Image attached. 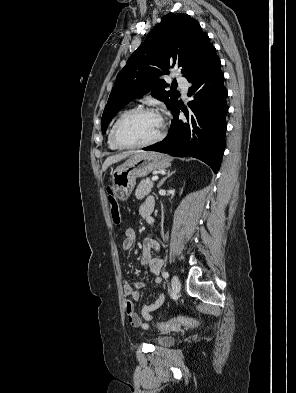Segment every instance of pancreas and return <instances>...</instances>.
Returning a JSON list of instances; mask_svg holds the SVG:
<instances>
[{
	"instance_id": "pancreas-1",
	"label": "pancreas",
	"mask_w": 296,
	"mask_h": 393,
	"mask_svg": "<svg viewBox=\"0 0 296 393\" xmlns=\"http://www.w3.org/2000/svg\"><path fill=\"white\" fill-rule=\"evenodd\" d=\"M153 185L154 183L150 179L142 180L135 191L136 198L141 200L147 196L151 192Z\"/></svg>"
}]
</instances>
